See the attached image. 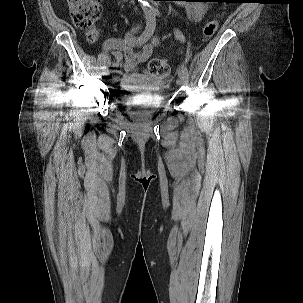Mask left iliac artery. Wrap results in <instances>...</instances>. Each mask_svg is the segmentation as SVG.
Segmentation results:
<instances>
[{
    "instance_id": "44dca946",
    "label": "left iliac artery",
    "mask_w": 303,
    "mask_h": 303,
    "mask_svg": "<svg viewBox=\"0 0 303 303\" xmlns=\"http://www.w3.org/2000/svg\"><path fill=\"white\" fill-rule=\"evenodd\" d=\"M143 5H144L145 13L147 15L158 16L160 14L159 11L156 8H154L153 6H151L148 2H143ZM174 33H175V37L178 40L184 42V40H185L184 36L178 29H176L174 31ZM181 69L185 72V74L187 75V77L189 79V71H188L187 67L185 65H182Z\"/></svg>"
}]
</instances>
